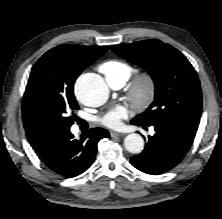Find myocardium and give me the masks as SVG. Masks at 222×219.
Wrapping results in <instances>:
<instances>
[{"label":"myocardium","mask_w":222,"mask_h":219,"mask_svg":"<svg viewBox=\"0 0 222 219\" xmlns=\"http://www.w3.org/2000/svg\"><path fill=\"white\" fill-rule=\"evenodd\" d=\"M156 94V80L148 72L137 75L128 88L129 99L138 107L147 108Z\"/></svg>","instance_id":"f54148a6"}]
</instances>
